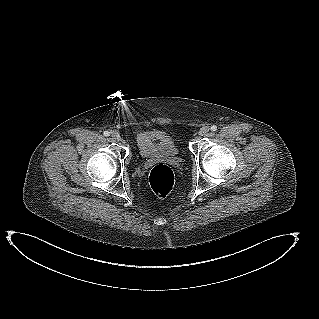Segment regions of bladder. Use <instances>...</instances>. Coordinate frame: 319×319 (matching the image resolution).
<instances>
[{"mask_svg":"<svg viewBox=\"0 0 319 319\" xmlns=\"http://www.w3.org/2000/svg\"><path fill=\"white\" fill-rule=\"evenodd\" d=\"M139 155L146 160L156 158H176L179 149L174 139L162 131L141 132L136 137Z\"/></svg>","mask_w":319,"mask_h":319,"instance_id":"bladder-1","label":"bladder"}]
</instances>
